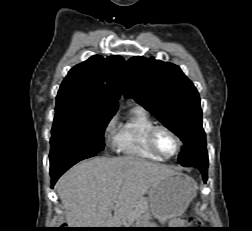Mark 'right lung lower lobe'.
Returning <instances> with one entry per match:
<instances>
[{"label":"right lung lower lobe","instance_id":"right-lung-lower-lobe-1","mask_svg":"<svg viewBox=\"0 0 252 231\" xmlns=\"http://www.w3.org/2000/svg\"><path fill=\"white\" fill-rule=\"evenodd\" d=\"M96 156V154H80V155H74L65 159H62L60 161H57L55 163H51L50 168V175H51V187L54 186L57 179L71 166L76 164L77 162L84 160L86 158H90Z\"/></svg>","mask_w":252,"mask_h":231}]
</instances>
